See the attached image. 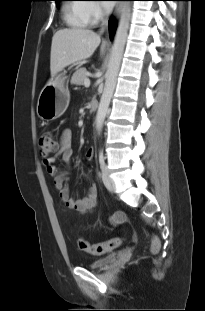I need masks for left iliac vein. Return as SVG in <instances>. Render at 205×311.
<instances>
[{
  "label": "left iliac vein",
  "instance_id": "left-iliac-vein-1",
  "mask_svg": "<svg viewBox=\"0 0 205 311\" xmlns=\"http://www.w3.org/2000/svg\"><path fill=\"white\" fill-rule=\"evenodd\" d=\"M102 181H103L105 187L109 191L114 190V182H113L112 178L110 177V174H109V171H108L106 165H104L102 167Z\"/></svg>",
  "mask_w": 205,
  "mask_h": 311
}]
</instances>
